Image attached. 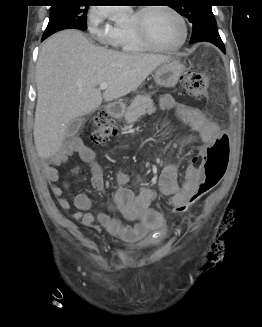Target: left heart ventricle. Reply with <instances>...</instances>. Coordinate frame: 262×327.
Instances as JSON below:
<instances>
[{
	"label": "left heart ventricle",
	"instance_id": "obj_1",
	"mask_svg": "<svg viewBox=\"0 0 262 327\" xmlns=\"http://www.w3.org/2000/svg\"><path fill=\"white\" fill-rule=\"evenodd\" d=\"M134 23V15L130 25ZM145 29L158 44L171 46L177 44L182 37V26L179 20L165 9H154L144 17Z\"/></svg>",
	"mask_w": 262,
	"mask_h": 327
}]
</instances>
